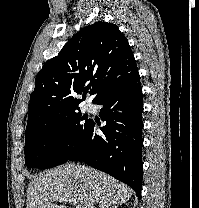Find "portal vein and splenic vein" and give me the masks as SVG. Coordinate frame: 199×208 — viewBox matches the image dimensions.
Listing matches in <instances>:
<instances>
[{
    "instance_id": "portal-vein-and-splenic-vein-1",
    "label": "portal vein and splenic vein",
    "mask_w": 199,
    "mask_h": 208,
    "mask_svg": "<svg viewBox=\"0 0 199 208\" xmlns=\"http://www.w3.org/2000/svg\"><path fill=\"white\" fill-rule=\"evenodd\" d=\"M59 201L61 202H69V203H72L74 205L77 204L76 200L75 199H68V198H59ZM76 208H81L80 205H76Z\"/></svg>"
}]
</instances>
